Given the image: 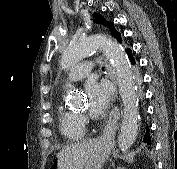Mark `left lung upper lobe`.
<instances>
[{"label":"left lung upper lobe","mask_w":177,"mask_h":169,"mask_svg":"<svg viewBox=\"0 0 177 169\" xmlns=\"http://www.w3.org/2000/svg\"><path fill=\"white\" fill-rule=\"evenodd\" d=\"M93 17L95 18V19H93V21H95L96 23H102V24H104L105 26H107V27L111 30L112 36L115 37L119 43L122 42L121 34L115 30V28H114V23H112V22H107V21H106L100 14H98V13H94V14H93Z\"/></svg>","instance_id":"left-lung-upper-lobe-1"}]
</instances>
